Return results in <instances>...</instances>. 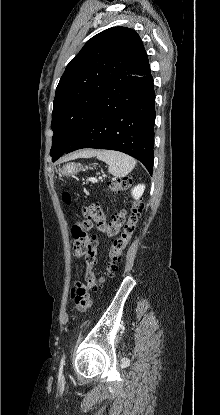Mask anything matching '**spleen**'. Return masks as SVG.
Returning <instances> with one entry per match:
<instances>
[{"label": "spleen", "mask_w": 220, "mask_h": 415, "mask_svg": "<svg viewBox=\"0 0 220 415\" xmlns=\"http://www.w3.org/2000/svg\"><path fill=\"white\" fill-rule=\"evenodd\" d=\"M97 158L108 164V171L116 177H125L135 167L136 161L132 157L112 150L97 151Z\"/></svg>", "instance_id": "3e777b00"}]
</instances>
